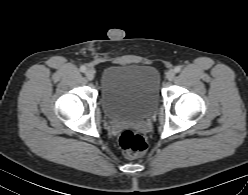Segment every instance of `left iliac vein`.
I'll list each match as a JSON object with an SVG mask.
<instances>
[{
  "instance_id": "obj_1",
  "label": "left iliac vein",
  "mask_w": 248,
  "mask_h": 195,
  "mask_svg": "<svg viewBox=\"0 0 248 195\" xmlns=\"http://www.w3.org/2000/svg\"><path fill=\"white\" fill-rule=\"evenodd\" d=\"M175 75H176L175 70L171 69L167 72V79L171 81L174 79Z\"/></svg>"
}]
</instances>
